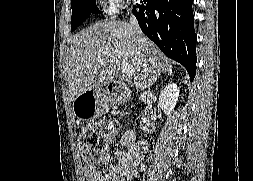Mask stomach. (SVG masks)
Instances as JSON below:
<instances>
[{
    "instance_id": "obj_1",
    "label": "stomach",
    "mask_w": 253,
    "mask_h": 181,
    "mask_svg": "<svg viewBox=\"0 0 253 181\" xmlns=\"http://www.w3.org/2000/svg\"><path fill=\"white\" fill-rule=\"evenodd\" d=\"M109 103V95L105 90L92 89L74 100L73 111L80 120H86L104 114Z\"/></svg>"
}]
</instances>
